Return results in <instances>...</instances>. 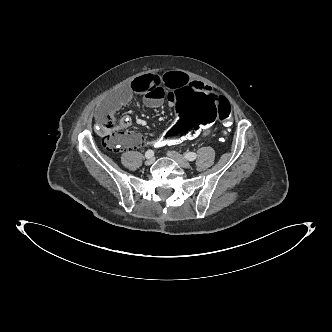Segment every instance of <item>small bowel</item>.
I'll return each mask as SVG.
<instances>
[{
	"instance_id": "1",
	"label": "small bowel",
	"mask_w": 332,
	"mask_h": 332,
	"mask_svg": "<svg viewBox=\"0 0 332 332\" xmlns=\"http://www.w3.org/2000/svg\"><path fill=\"white\" fill-rule=\"evenodd\" d=\"M189 82L203 84L200 81L190 79L188 75L180 71H167L163 74L149 73L135 78L132 82L117 90L98 105L95 119L99 123L100 131L104 132L103 119L106 114L118 109L122 104L130 100L134 93L144 97L147 106L159 108L165 99L169 100L174 90ZM130 125L131 120L128 117L122 118L119 124V134L122 137L123 145L127 148H133L142 142L140 134L127 130ZM211 133L212 128L200 137H208Z\"/></svg>"
}]
</instances>
